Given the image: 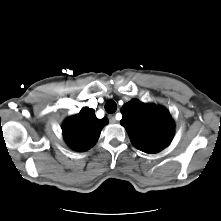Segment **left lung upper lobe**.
Returning a JSON list of instances; mask_svg holds the SVG:
<instances>
[{
	"mask_svg": "<svg viewBox=\"0 0 221 221\" xmlns=\"http://www.w3.org/2000/svg\"><path fill=\"white\" fill-rule=\"evenodd\" d=\"M121 113V125L137 149L158 153L170 144L174 121L165 108L133 99L122 106Z\"/></svg>",
	"mask_w": 221,
	"mask_h": 221,
	"instance_id": "obj_1",
	"label": "left lung upper lobe"
}]
</instances>
